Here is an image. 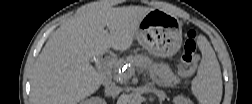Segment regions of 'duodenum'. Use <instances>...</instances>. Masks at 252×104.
Wrapping results in <instances>:
<instances>
[{"label":"duodenum","instance_id":"duodenum-1","mask_svg":"<svg viewBox=\"0 0 252 104\" xmlns=\"http://www.w3.org/2000/svg\"><path fill=\"white\" fill-rule=\"evenodd\" d=\"M100 59H101V62H103V63H108L111 60L110 56L107 54H103Z\"/></svg>","mask_w":252,"mask_h":104}]
</instances>
